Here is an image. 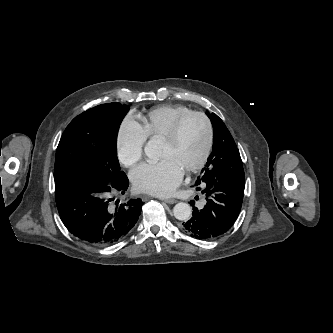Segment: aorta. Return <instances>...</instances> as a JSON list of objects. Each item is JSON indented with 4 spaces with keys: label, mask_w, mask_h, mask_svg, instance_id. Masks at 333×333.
I'll return each mask as SVG.
<instances>
[{
    "label": "aorta",
    "mask_w": 333,
    "mask_h": 333,
    "mask_svg": "<svg viewBox=\"0 0 333 333\" xmlns=\"http://www.w3.org/2000/svg\"><path fill=\"white\" fill-rule=\"evenodd\" d=\"M144 151L149 158H157V151L152 143H148ZM173 213L176 219L184 221L189 219L192 209L189 204L180 202L174 206Z\"/></svg>",
    "instance_id": "762f6f07"
}]
</instances>
